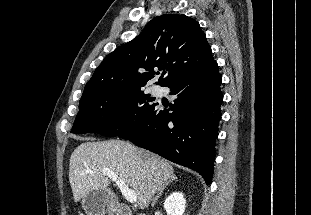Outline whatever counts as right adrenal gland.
<instances>
[{
    "label": "right adrenal gland",
    "instance_id": "right-adrenal-gland-1",
    "mask_svg": "<svg viewBox=\"0 0 311 215\" xmlns=\"http://www.w3.org/2000/svg\"><path fill=\"white\" fill-rule=\"evenodd\" d=\"M176 179H177V177H176L175 175H173V176L171 177L170 180H168L167 182H165V183L163 184V186H162L161 189L159 190V193H158L157 196L154 198L153 203H152V206H154V204H155L156 201L158 200L159 196H161V194H162L163 190L166 188V186H168L171 182L175 181Z\"/></svg>",
    "mask_w": 311,
    "mask_h": 215
}]
</instances>
